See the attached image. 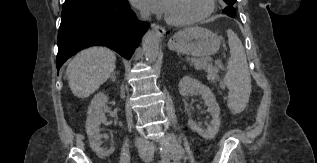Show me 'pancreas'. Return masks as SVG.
I'll list each match as a JSON object with an SVG mask.
<instances>
[{
    "label": "pancreas",
    "mask_w": 317,
    "mask_h": 163,
    "mask_svg": "<svg viewBox=\"0 0 317 163\" xmlns=\"http://www.w3.org/2000/svg\"><path fill=\"white\" fill-rule=\"evenodd\" d=\"M191 63L194 65L195 69L197 70H202L205 69L206 72L208 73L207 77L211 82H215L216 80H218V69L216 67H213L210 64H207L205 62H203L200 59H196V58H192L191 59Z\"/></svg>",
    "instance_id": "1"
}]
</instances>
